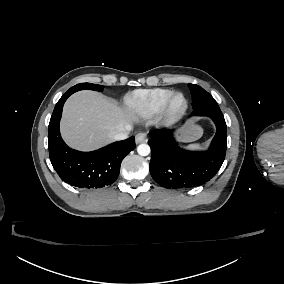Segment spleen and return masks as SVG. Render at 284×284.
<instances>
[{"mask_svg":"<svg viewBox=\"0 0 284 284\" xmlns=\"http://www.w3.org/2000/svg\"><path fill=\"white\" fill-rule=\"evenodd\" d=\"M208 146V143L206 142L204 146H201L199 144H190L187 146V149L195 150V149H206Z\"/></svg>","mask_w":284,"mask_h":284,"instance_id":"3e777b00","label":"spleen"}]
</instances>
